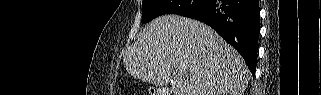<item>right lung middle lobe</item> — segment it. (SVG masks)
<instances>
[{
    "label": "right lung middle lobe",
    "instance_id": "obj_1",
    "mask_svg": "<svg viewBox=\"0 0 321 95\" xmlns=\"http://www.w3.org/2000/svg\"><path fill=\"white\" fill-rule=\"evenodd\" d=\"M207 0H143L142 23L165 14L181 16L196 13Z\"/></svg>",
    "mask_w": 321,
    "mask_h": 95
}]
</instances>
